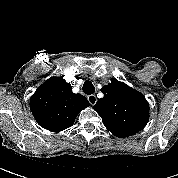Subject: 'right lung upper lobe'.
<instances>
[{"label": "right lung upper lobe", "instance_id": "right-lung-upper-lobe-1", "mask_svg": "<svg viewBox=\"0 0 178 178\" xmlns=\"http://www.w3.org/2000/svg\"><path fill=\"white\" fill-rule=\"evenodd\" d=\"M88 106V100L81 94L73 93L70 83L63 76L48 79L30 100V109L36 121L54 132L71 127L76 116Z\"/></svg>", "mask_w": 178, "mask_h": 178}]
</instances>
